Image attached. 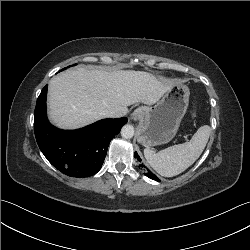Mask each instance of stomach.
Listing matches in <instances>:
<instances>
[{"mask_svg":"<svg viewBox=\"0 0 250 250\" xmlns=\"http://www.w3.org/2000/svg\"><path fill=\"white\" fill-rule=\"evenodd\" d=\"M189 89L176 84L153 107H140L137 140L150 147L170 142L179 129L189 103Z\"/></svg>","mask_w":250,"mask_h":250,"instance_id":"0dacf381","label":"stomach"}]
</instances>
